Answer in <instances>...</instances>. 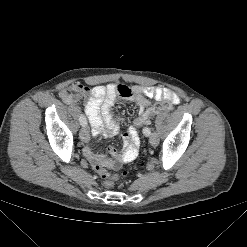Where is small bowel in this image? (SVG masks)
I'll list each match as a JSON object with an SVG mask.
<instances>
[{
  "mask_svg": "<svg viewBox=\"0 0 247 247\" xmlns=\"http://www.w3.org/2000/svg\"><path fill=\"white\" fill-rule=\"evenodd\" d=\"M116 84L86 86L80 83L71 84L60 91V99L67 104H74L81 98L86 99L85 114L92 126L94 136L111 137L122 134L124 149L119 153L115 148L109 149V156L100 154L92 148H85L84 154L92 166L100 165L104 168L118 169L123 163L136 158L139 150L138 130L132 125L128 131H123L121 119L114 115V106L119 99L134 102L139 114L149 105V99L166 101L170 104H178V95L167 88L141 87L130 88L129 96H121Z\"/></svg>",
  "mask_w": 247,
  "mask_h": 247,
  "instance_id": "small-bowel-1",
  "label": "small bowel"
}]
</instances>
